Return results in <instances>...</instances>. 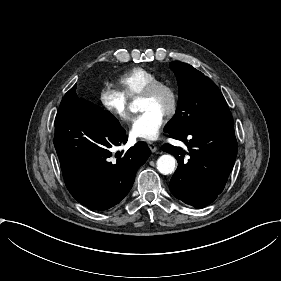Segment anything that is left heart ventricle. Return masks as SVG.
<instances>
[{"instance_id": "1", "label": "left heart ventricle", "mask_w": 281, "mask_h": 281, "mask_svg": "<svg viewBox=\"0 0 281 281\" xmlns=\"http://www.w3.org/2000/svg\"><path fill=\"white\" fill-rule=\"evenodd\" d=\"M167 104V95L164 91H161L154 99H145L140 97L139 111L143 112L151 110L163 116Z\"/></svg>"}]
</instances>
